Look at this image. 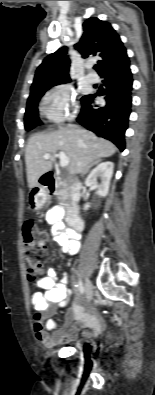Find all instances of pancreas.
Masks as SVG:
<instances>
[{"label":"pancreas","mask_w":155,"mask_h":395,"mask_svg":"<svg viewBox=\"0 0 155 395\" xmlns=\"http://www.w3.org/2000/svg\"><path fill=\"white\" fill-rule=\"evenodd\" d=\"M56 195L58 200L61 202L62 205H65L64 202L68 198L67 189L62 188L56 191Z\"/></svg>","instance_id":"pancreas-1"}]
</instances>
